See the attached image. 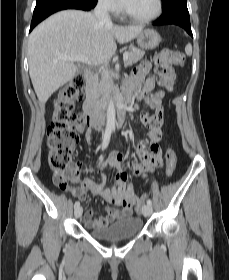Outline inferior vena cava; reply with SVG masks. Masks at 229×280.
<instances>
[{
  "mask_svg": "<svg viewBox=\"0 0 229 280\" xmlns=\"http://www.w3.org/2000/svg\"><path fill=\"white\" fill-rule=\"evenodd\" d=\"M108 12H109L108 2L106 0H99L97 6L94 9V15L102 23L112 24Z\"/></svg>",
  "mask_w": 229,
  "mask_h": 280,
  "instance_id": "inferior-vena-cava-1",
  "label": "inferior vena cava"
}]
</instances>
